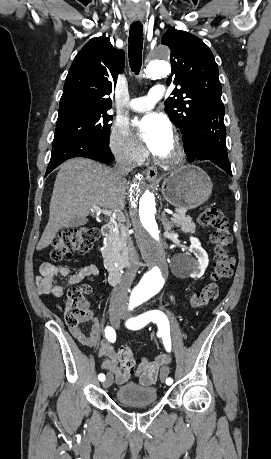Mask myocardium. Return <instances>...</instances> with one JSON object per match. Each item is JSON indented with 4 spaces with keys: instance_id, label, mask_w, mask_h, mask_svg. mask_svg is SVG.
<instances>
[{
    "instance_id": "myocardium-1",
    "label": "myocardium",
    "mask_w": 271,
    "mask_h": 459,
    "mask_svg": "<svg viewBox=\"0 0 271 459\" xmlns=\"http://www.w3.org/2000/svg\"><path fill=\"white\" fill-rule=\"evenodd\" d=\"M171 139H172V150H171V152L166 154V155H159V154L154 153V156H155V158H157L158 160H160L162 162H165V163H168V164H176L182 158L183 147H182V144H181L179 138L174 133H172Z\"/></svg>"
}]
</instances>
